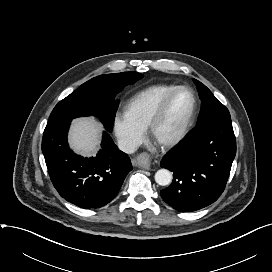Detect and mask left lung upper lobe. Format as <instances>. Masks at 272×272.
<instances>
[{
  "label": "left lung upper lobe",
  "mask_w": 272,
  "mask_h": 272,
  "mask_svg": "<svg viewBox=\"0 0 272 272\" xmlns=\"http://www.w3.org/2000/svg\"><path fill=\"white\" fill-rule=\"evenodd\" d=\"M194 83L202 101L197 126L209 121L230 117L228 109L214 97L205 85L196 79H194Z\"/></svg>",
  "instance_id": "1"
}]
</instances>
